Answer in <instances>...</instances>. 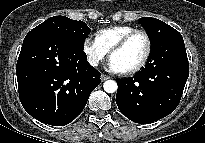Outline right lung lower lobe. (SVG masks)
Wrapping results in <instances>:
<instances>
[{
    "label": "right lung lower lobe",
    "mask_w": 205,
    "mask_h": 143,
    "mask_svg": "<svg viewBox=\"0 0 205 143\" xmlns=\"http://www.w3.org/2000/svg\"><path fill=\"white\" fill-rule=\"evenodd\" d=\"M16 74L24 109L52 126L73 121L101 82L82 48L48 31L26 35Z\"/></svg>",
    "instance_id": "98d812e1"
}]
</instances>
